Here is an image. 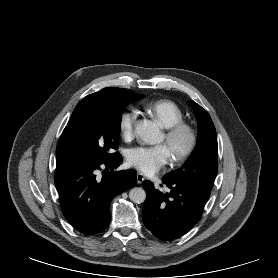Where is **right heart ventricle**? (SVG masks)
I'll list each match as a JSON object with an SVG mask.
<instances>
[{"label": "right heart ventricle", "instance_id": "obj_1", "mask_svg": "<svg viewBox=\"0 0 278 278\" xmlns=\"http://www.w3.org/2000/svg\"><path fill=\"white\" fill-rule=\"evenodd\" d=\"M144 111L154 118L162 127L170 128L183 121L182 109L172 100L160 99L143 107Z\"/></svg>", "mask_w": 278, "mask_h": 278}]
</instances>
